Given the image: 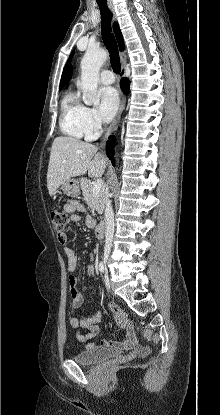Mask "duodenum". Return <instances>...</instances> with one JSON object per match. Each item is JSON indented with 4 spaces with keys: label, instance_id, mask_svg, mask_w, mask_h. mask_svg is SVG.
<instances>
[{
    "label": "duodenum",
    "instance_id": "410a0bca",
    "mask_svg": "<svg viewBox=\"0 0 220 415\" xmlns=\"http://www.w3.org/2000/svg\"><path fill=\"white\" fill-rule=\"evenodd\" d=\"M107 220H103L101 223H99L95 228V234L98 239H103L105 236V230H106Z\"/></svg>",
    "mask_w": 220,
    "mask_h": 415
}]
</instances>
